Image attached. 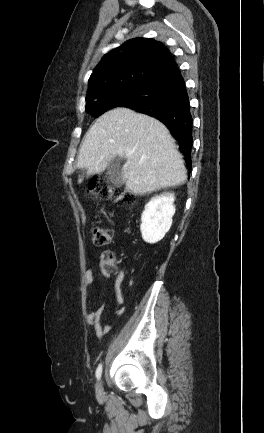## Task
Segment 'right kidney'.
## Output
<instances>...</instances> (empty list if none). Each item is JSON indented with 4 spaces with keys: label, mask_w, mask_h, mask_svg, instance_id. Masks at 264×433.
I'll list each match as a JSON object with an SVG mask.
<instances>
[{
    "label": "right kidney",
    "mask_w": 264,
    "mask_h": 433,
    "mask_svg": "<svg viewBox=\"0 0 264 433\" xmlns=\"http://www.w3.org/2000/svg\"><path fill=\"white\" fill-rule=\"evenodd\" d=\"M173 193L166 192L153 197L145 206L141 216V233L145 242L156 243L164 238L172 225L175 214Z\"/></svg>",
    "instance_id": "ca27d5eb"
}]
</instances>
